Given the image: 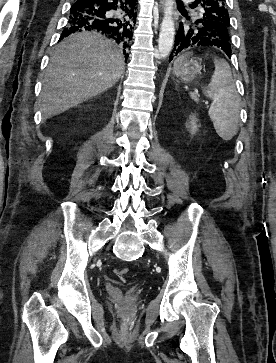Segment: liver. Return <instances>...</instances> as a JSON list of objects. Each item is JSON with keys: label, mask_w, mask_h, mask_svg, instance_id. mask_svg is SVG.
<instances>
[{"label": "liver", "mask_w": 276, "mask_h": 363, "mask_svg": "<svg viewBox=\"0 0 276 363\" xmlns=\"http://www.w3.org/2000/svg\"><path fill=\"white\" fill-rule=\"evenodd\" d=\"M125 70L113 41L95 32L76 33L51 55L40 94L45 118L58 115L115 85Z\"/></svg>", "instance_id": "obj_1"}]
</instances>
